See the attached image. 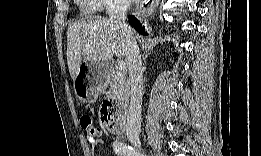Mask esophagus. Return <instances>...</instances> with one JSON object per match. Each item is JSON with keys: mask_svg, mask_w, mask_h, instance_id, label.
<instances>
[{"mask_svg": "<svg viewBox=\"0 0 261 156\" xmlns=\"http://www.w3.org/2000/svg\"><path fill=\"white\" fill-rule=\"evenodd\" d=\"M157 6H158V2L154 1V2L150 3L147 8H144L143 11H141L142 6H140L138 9H136V13L139 15L148 16V15L152 14V12L156 9Z\"/></svg>", "mask_w": 261, "mask_h": 156, "instance_id": "34e87169", "label": "esophagus"}]
</instances>
